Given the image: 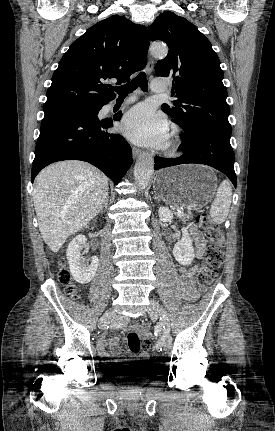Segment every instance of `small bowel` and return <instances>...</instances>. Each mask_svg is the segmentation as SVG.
Returning <instances> with one entry per match:
<instances>
[{"instance_id":"obj_1","label":"small bowel","mask_w":275,"mask_h":431,"mask_svg":"<svg viewBox=\"0 0 275 431\" xmlns=\"http://www.w3.org/2000/svg\"><path fill=\"white\" fill-rule=\"evenodd\" d=\"M191 237L195 242L196 255L200 258L205 250L206 242L202 233L196 229H190ZM197 271V266H182L179 269V282L181 288V294L183 298L189 302H194L197 299V292L194 283V275ZM127 328V326H123ZM138 331L143 340H150L152 334L149 331L147 325H135L133 327ZM100 354L104 357L113 356L116 357L120 354L119 339L116 336L104 335L98 342ZM109 348L110 353L107 349Z\"/></svg>"}]
</instances>
